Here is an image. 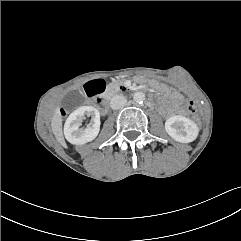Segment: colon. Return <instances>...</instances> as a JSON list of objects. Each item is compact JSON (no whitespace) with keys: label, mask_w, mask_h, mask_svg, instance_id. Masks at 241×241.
Masks as SVG:
<instances>
[{"label":"colon","mask_w":241,"mask_h":241,"mask_svg":"<svg viewBox=\"0 0 241 241\" xmlns=\"http://www.w3.org/2000/svg\"><path fill=\"white\" fill-rule=\"evenodd\" d=\"M107 84L104 80L97 79L88 82L84 86V92L89 99H93L96 104H101L102 98L101 95L105 91ZM186 113L189 115H195L197 112V106L194 101H189L186 104ZM66 111L62 109L61 114L64 115Z\"/></svg>","instance_id":"5ec220e1"}]
</instances>
